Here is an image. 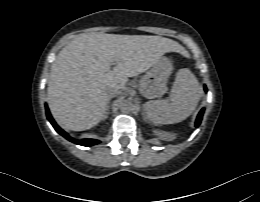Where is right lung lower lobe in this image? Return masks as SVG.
I'll list each match as a JSON object with an SVG mask.
<instances>
[{"instance_id": "obj_1", "label": "right lung lower lobe", "mask_w": 260, "mask_h": 202, "mask_svg": "<svg viewBox=\"0 0 260 202\" xmlns=\"http://www.w3.org/2000/svg\"><path fill=\"white\" fill-rule=\"evenodd\" d=\"M46 107V115H47V119L50 121V123L52 124V126L54 127V129L59 133L61 134L62 136H64L66 139L74 142V143H77V144H80L82 146H92V145H95V144H98L100 143L99 140H94V139H84L82 141H75L73 138H71L66 132H64L54 121V119L52 118L50 112H49V109L47 107V105H45Z\"/></svg>"}]
</instances>
